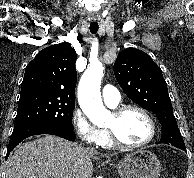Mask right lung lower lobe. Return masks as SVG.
I'll list each match as a JSON object with an SVG mask.
<instances>
[{
    "label": "right lung lower lobe",
    "instance_id": "98d812e1",
    "mask_svg": "<svg viewBox=\"0 0 194 178\" xmlns=\"http://www.w3.org/2000/svg\"><path fill=\"white\" fill-rule=\"evenodd\" d=\"M38 134H51L65 138L69 141L75 140V133L73 130L60 129L41 123H27L17 125L14 126L13 133L10 137L6 158L9 156L10 152L15 148V146H17L22 140L32 135Z\"/></svg>",
    "mask_w": 194,
    "mask_h": 178
}]
</instances>
